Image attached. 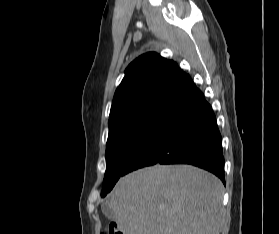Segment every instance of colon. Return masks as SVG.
Wrapping results in <instances>:
<instances>
[{"instance_id": "1", "label": "colon", "mask_w": 279, "mask_h": 234, "mask_svg": "<svg viewBox=\"0 0 279 234\" xmlns=\"http://www.w3.org/2000/svg\"><path fill=\"white\" fill-rule=\"evenodd\" d=\"M107 234H123V232L117 224L111 223L107 228Z\"/></svg>"}]
</instances>
